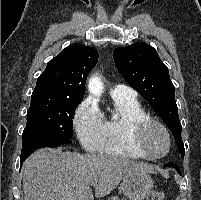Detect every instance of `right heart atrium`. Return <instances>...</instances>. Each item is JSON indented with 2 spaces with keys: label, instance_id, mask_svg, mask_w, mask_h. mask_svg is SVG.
Returning a JSON list of instances; mask_svg holds the SVG:
<instances>
[{
  "label": "right heart atrium",
  "instance_id": "obj_1",
  "mask_svg": "<svg viewBox=\"0 0 201 200\" xmlns=\"http://www.w3.org/2000/svg\"><path fill=\"white\" fill-rule=\"evenodd\" d=\"M73 125L83 147L97 151L102 138V115L91 100H84L79 105L73 118Z\"/></svg>",
  "mask_w": 201,
  "mask_h": 200
}]
</instances>
